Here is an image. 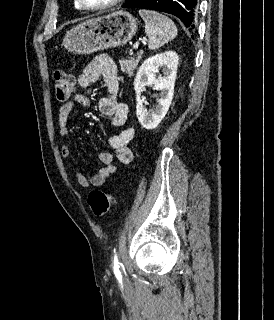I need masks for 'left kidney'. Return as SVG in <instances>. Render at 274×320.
I'll use <instances>...</instances> for the list:
<instances>
[{"label": "left kidney", "instance_id": "left-kidney-1", "mask_svg": "<svg viewBox=\"0 0 274 320\" xmlns=\"http://www.w3.org/2000/svg\"><path fill=\"white\" fill-rule=\"evenodd\" d=\"M177 66L178 54L172 50L151 56L140 66L134 80V92L137 102L136 116L145 130H154L165 118L174 96ZM160 68H162L163 76H156ZM148 84H154L156 90H160V100L150 112L144 106L146 104L144 96H141Z\"/></svg>", "mask_w": 274, "mask_h": 320}]
</instances>
